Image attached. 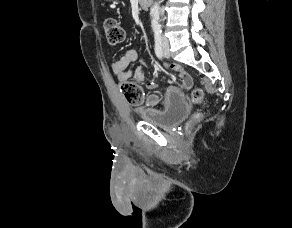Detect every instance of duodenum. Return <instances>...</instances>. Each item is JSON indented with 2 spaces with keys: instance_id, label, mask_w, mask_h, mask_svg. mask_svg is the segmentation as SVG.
I'll return each mask as SVG.
<instances>
[{
  "instance_id": "1",
  "label": "duodenum",
  "mask_w": 292,
  "mask_h": 228,
  "mask_svg": "<svg viewBox=\"0 0 292 228\" xmlns=\"http://www.w3.org/2000/svg\"><path fill=\"white\" fill-rule=\"evenodd\" d=\"M139 1V5L142 9H147L148 7H150L152 0H138Z\"/></svg>"
}]
</instances>
